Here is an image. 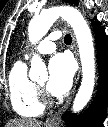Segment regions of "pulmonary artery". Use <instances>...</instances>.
Listing matches in <instances>:
<instances>
[{
	"instance_id": "e3ab8cb5",
	"label": "pulmonary artery",
	"mask_w": 108,
	"mask_h": 127,
	"mask_svg": "<svg viewBox=\"0 0 108 127\" xmlns=\"http://www.w3.org/2000/svg\"><path fill=\"white\" fill-rule=\"evenodd\" d=\"M60 38V34L57 31L52 32L47 36L45 39H43L38 46L35 48V52L39 54H49L55 51L56 45L55 40ZM31 53H27L25 55V58L28 59L30 57Z\"/></svg>"
}]
</instances>
